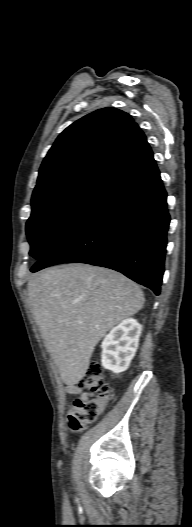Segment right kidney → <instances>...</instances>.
Here are the masks:
<instances>
[{
  "instance_id": "obj_1",
  "label": "right kidney",
  "mask_w": 192,
  "mask_h": 527,
  "mask_svg": "<svg viewBox=\"0 0 192 527\" xmlns=\"http://www.w3.org/2000/svg\"><path fill=\"white\" fill-rule=\"evenodd\" d=\"M142 326L135 319L123 320L105 336L102 366L118 374L126 371L138 348Z\"/></svg>"
}]
</instances>
